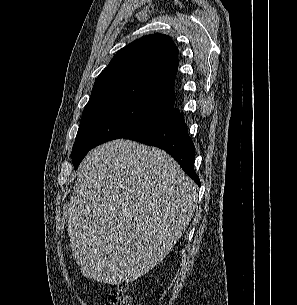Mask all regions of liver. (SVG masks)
<instances>
[{
	"instance_id": "obj_1",
	"label": "liver",
	"mask_w": 297,
	"mask_h": 305,
	"mask_svg": "<svg viewBox=\"0 0 297 305\" xmlns=\"http://www.w3.org/2000/svg\"><path fill=\"white\" fill-rule=\"evenodd\" d=\"M197 202L196 184L164 150L124 139L93 149L67 213L81 273L117 286L140 278L181 238Z\"/></svg>"
}]
</instances>
